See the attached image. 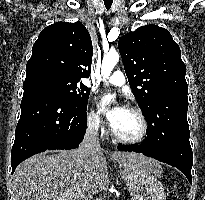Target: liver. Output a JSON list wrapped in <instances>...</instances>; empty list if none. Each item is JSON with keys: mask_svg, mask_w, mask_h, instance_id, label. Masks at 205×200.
<instances>
[{"mask_svg": "<svg viewBox=\"0 0 205 200\" xmlns=\"http://www.w3.org/2000/svg\"><path fill=\"white\" fill-rule=\"evenodd\" d=\"M104 152L99 148L86 157L70 150L26 159L13 174V200H92L109 183ZM112 157L125 169L159 173L158 163L142 154L114 151Z\"/></svg>", "mask_w": 205, "mask_h": 200, "instance_id": "liver-1", "label": "liver"}]
</instances>
